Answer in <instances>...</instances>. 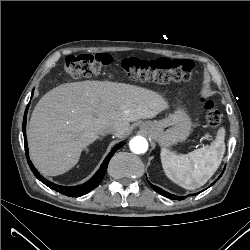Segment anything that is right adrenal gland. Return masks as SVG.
<instances>
[{
  "label": "right adrenal gland",
  "mask_w": 250,
  "mask_h": 250,
  "mask_svg": "<svg viewBox=\"0 0 250 250\" xmlns=\"http://www.w3.org/2000/svg\"><path fill=\"white\" fill-rule=\"evenodd\" d=\"M98 139L102 140V138H101V137H99ZM87 152H88V149H87Z\"/></svg>",
  "instance_id": "right-adrenal-gland-1"
}]
</instances>
